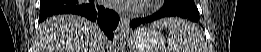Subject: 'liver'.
<instances>
[{
	"label": "liver",
	"instance_id": "6515ba94",
	"mask_svg": "<svg viewBox=\"0 0 261 52\" xmlns=\"http://www.w3.org/2000/svg\"><path fill=\"white\" fill-rule=\"evenodd\" d=\"M34 52H102L98 25L75 15H58L41 23Z\"/></svg>",
	"mask_w": 261,
	"mask_h": 52
}]
</instances>
